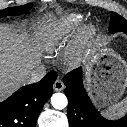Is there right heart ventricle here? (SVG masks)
<instances>
[{
	"instance_id": "1",
	"label": "right heart ventricle",
	"mask_w": 127,
	"mask_h": 127,
	"mask_svg": "<svg viewBox=\"0 0 127 127\" xmlns=\"http://www.w3.org/2000/svg\"><path fill=\"white\" fill-rule=\"evenodd\" d=\"M83 16L68 14L45 26L40 33L39 42L42 49L49 53L57 50L66 37L81 23Z\"/></svg>"
}]
</instances>
